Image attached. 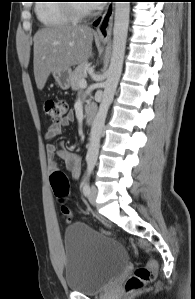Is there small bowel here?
<instances>
[{"mask_svg": "<svg viewBox=\"0 0 195 299\" xmlns=\"http://www.w3.org/2000/svg\"><path fill=\"white\" fill-rule=\"evenodd\" d=\"M74 119V115L69 113L59 122L51 123L45 133L47 139H52L57 136L62 128L67 127L71 124ZM47 151L50 155L55 156L65 162L66 168L71 172L72 178L78 180L81 175V160L78 154L69 151L64 147H58L56 145L50 144L47 147ZM57 163L51 160L50 166L55 167Z\"/></svg>", "mask_w": 195, "mask_h": 299, "instance_id": "small-bowel-1", "label": "small bowel"}]
</instances>
